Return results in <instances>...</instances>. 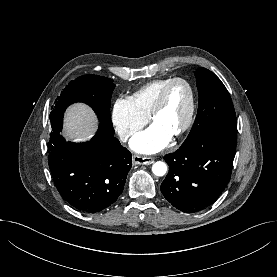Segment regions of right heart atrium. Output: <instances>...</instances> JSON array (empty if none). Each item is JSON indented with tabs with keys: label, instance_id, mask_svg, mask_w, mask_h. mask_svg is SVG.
<instances>
[{
	"label": "right heart atrium",
	"instance_id": "right-heart-atrium-1",
	"mask_svg": "<svg viewBox=\"0 0 277 277\" xmlns=\"http://www.w3.org/2000/svg\"><path fill=\"white\" fill-rule=\"evenodd\" d=\"M112 123L122 141L134 137L148 122L131 97L118 98L112 110Z\"/></svg>",
	"mask_w": 277,
	"mask_h": 277
}]
</instances>
